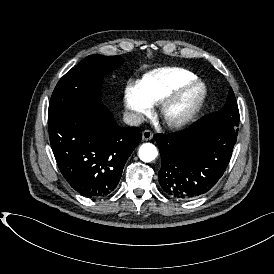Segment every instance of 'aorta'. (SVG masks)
I'll use <instances>...</instances> for the list:
<instances>
[{
    "label": "aorta",
    "instance_id": "762f6f07",
    "mask_svg": "<svg viewBox=\"0 0 274 274\" xmlns=\"http://www.w3.org/2000/svg\"><path fill=\"white\" fill-rule=\"evenodd\" d=\"M139 158L143 162H151L158 156L157 148L151 143H144L139 148Z\"/></svg>",
    "mask_w": 274,
    "mask_h": 274
}]
</instances>
